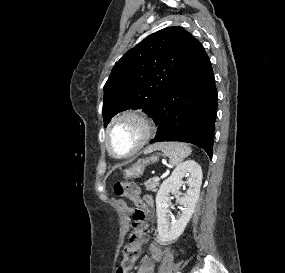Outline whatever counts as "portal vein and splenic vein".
<instances>
[{
    "instance_id": "1",
    "label": "portal vein and splenic vein",
    "mask_w": 285,
    "mask_h": 273,
    "mask_svg": "<svg viewBox=\"0 0 285 273\" xmlns=\"http://www.w3.org/2000/svg\"><path fill=\"white\" fill-rule=\"evenodd\" d=\"M154 179H155V180H159V177H158V176H156Z\"/></svg>"
}]
</instances>
